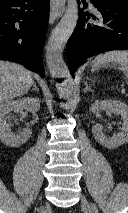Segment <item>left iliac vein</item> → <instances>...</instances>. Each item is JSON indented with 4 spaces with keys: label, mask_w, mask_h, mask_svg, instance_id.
<instances>
[{
    "label": "left iliac vein",
    "mask_w": 128,
    "mask_h": 213,
    "mask_svg": "<svg viewBox=\"0 0 128 213\" xmlns=\"http://www.w3.org/2000/svg\"><path fill=\"white\" fill-rule=\"evenodd\" d=\"M81 206L85 213H94L91 204L84 197L81 198Z\"/></svg>",
    "instance_id": "obj_1"
}]
</instances>
